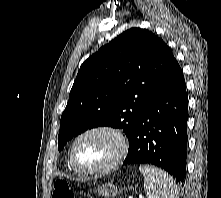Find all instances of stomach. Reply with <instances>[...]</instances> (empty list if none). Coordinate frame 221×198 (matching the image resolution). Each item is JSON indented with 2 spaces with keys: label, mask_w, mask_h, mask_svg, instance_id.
I'll return each mask as SVG.
<instances>
[{
  "label": "stomach",
  "mask_w": 221,
  "mask_h": 198,
  "mask_svg": "<svg viewBox=\"0 0 221 198\" xmlns=\"http://www.w3.org/2000/svg\"><path fill=\"white\" fill-rule=\"evenodd\" d=\"M98 192L105 198H114L118 194V188L112 183H106L98 189Z\"/></svg>",
  "instance_id": "stomach-1"
}]
</instances>
